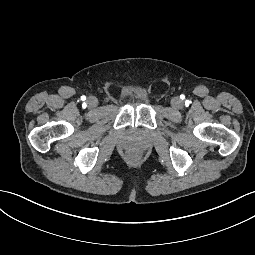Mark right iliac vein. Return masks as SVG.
<instances>
[{
    "mask_svg": "<svg viewBox=\"0 0 255 255\" xmlns=\"http://www.w3.org/2000/svg\"><path fill=\"white\" fill-rule=\"evenodd\" d=\"M87 105H88V107H90V108L96 107V106L98 105V100H97V98L94 97V96L88 97V99H87Z\"/></svg>",
    "mask_w": 255,
    "mask_h": 255,
    "instance_id": "obj_1",
    "label": "right iliac vein"
}]
</instances>
